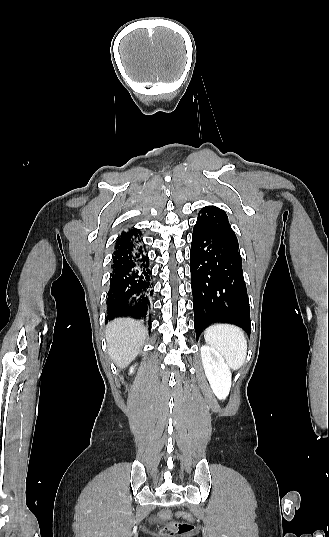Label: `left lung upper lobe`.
<instances>
[{
	"instance_id": "1",
	"label": "left lung upper lobe",
	"mask_w": 329,
	"mask_h": 537,
	"mask_svg": "<svg viewBox=\"0 0 329 537\" xmlns=\"http://www.w3.org/2000/svg\"><path fill=\"white\" fill-rule=\"evenodd\" d=\"M197 222L232 243L239 245L237 237L228 222V217L222 209L216 206L204 207L199 212Z\"/></svg>"
}]
</instances>
